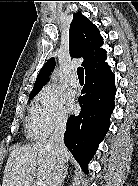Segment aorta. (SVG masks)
<instances>
[{
  "instance_id": "762f6f07",
  "label": "aorta",
  "mask_w": 138,
  "mask_h": 186,
  "mask_svg": "<svg viewBox=\"0 0 138 186\" xmlns=\"http://www.w3.org/2000/svg\"><path fill=\"white\" fill-rule=\"evenodd\" d=\"M58 73H57V71L55 70L53 73H52V75H51V81L53 82V83H56L57 82V80H58Z\"/></svg>"
}]
</instances>
